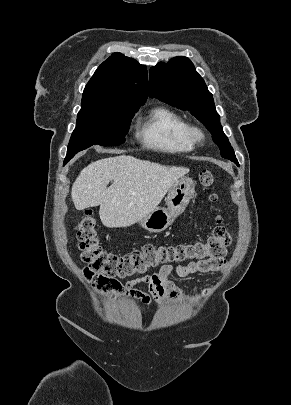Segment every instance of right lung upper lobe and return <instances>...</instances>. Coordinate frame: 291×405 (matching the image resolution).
<instances>
[{
	"instance_id": "obj_1",
	"label": "right lung upper lobe",
	"mask_w": 291,
	"mask_h": 405,
	"mask_svg": "<svg viewBox=\"0 0 291 405\" xmlns=\"http://www.w3.org/2000/svg\"><path fill=\"white\" fill-rule=\"evenodd\" d=\"M147 97L146 66L121 53H114L98 67L87 83L81 108L101 105L139 108Z\"/></svg>"
}]
</instances>
